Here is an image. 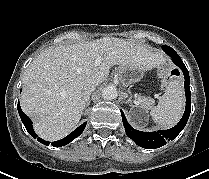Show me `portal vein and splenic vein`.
Returning a JSON list of instances; mask_svg holds the SVG:
<instances>
[{
	"mask_svg": "<svg viewBox=\"0 0 209 179\" xmlns=\"http://www.w3.org/2000/svg\"><path fill=\"white\" fill-rule=\"evenodd\" d=\"M101 62H102L101 57H97V59H96V61H95V66L100 65V64H101Z\"/></svg>",
	"mask_w": 209,
	"mask_h": 179,
	"instance_id": "obj_1",
	"label": "portal vein and splenic vein"
}]
</instances>
